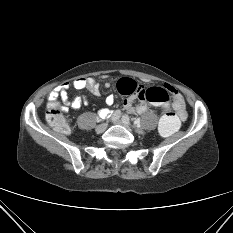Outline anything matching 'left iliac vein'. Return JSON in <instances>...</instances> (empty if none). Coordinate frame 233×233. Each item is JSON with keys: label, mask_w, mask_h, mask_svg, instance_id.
Wrapping results in <instances>:
<instances>
[{"label": "left iliac vein", "mask_w": 233, "mask_h": 233, "mask_svg": "<svg viewBox=\"0 0 233 233\" xmlns=\"http://www.w3.org/2000/svg\"><path fill=\"white\" fill-rule=\"evenodd\" d=\"M114 123H116V124H118V125H122V126H124V127H126L128 130H130V131H132V130H135V129H133L132 127H130L129 125H127L126 123H125V121H123L122 119H116V120H114ZM136 131V130H135ZM137 133H140V132H138V131H136ZM140 134H142V132L140 133Z\"/></svg>", "instance_id": "obj_1"}]
</instances>
